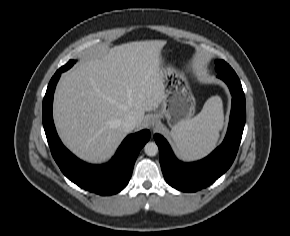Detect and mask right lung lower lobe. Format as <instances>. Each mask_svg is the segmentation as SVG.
<instances>
[{
  "mask_svg": "<svg viewBox=\"0 0 290 236\" xmlns=\"http://www.w3.org/2000/svg\"><path fill=\"white\" fill-rule=\"evenodd\" d=\"M62 72L58 70L50 80L42 107L43 126L52 156L63 174L81 188L99 195L118 193L128 184L138 153L150 138V131L129 135L107 164L91 165L80 161L63 146L52 118L53 94Z\"/></svg>",
  "mask_w": 290,
  "mask_h": 236,
  "instance_id": "1",
  "label": "right lung lower lobe"
}]
</instances>
